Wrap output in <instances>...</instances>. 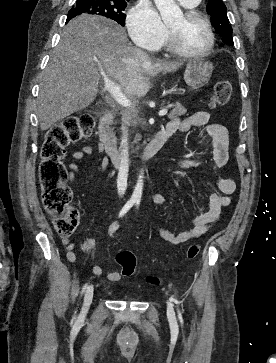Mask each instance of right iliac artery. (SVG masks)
Instances as JSON below:
<instances>
[{
  "label": "right iliac artery",
  "mask_w": 276,
  "mask_h": 363,
  "mask_svg": "<svg viewBox=\"0 0 276 363\" xmlns=\"http://www.w3.org/2000/svg\"><path fill=\"white\" fill-rule=\"evenodd\" d=\"M135 201L134 200H129L124 207L121 209L120 213H119V217H122L133 205H134ZM88 287V283H85L82 287V291H81V295L84 293V291L87 289ZM73 319H75V317H73Z\"/></svg>",
  "instance_id": "right-iliac-artery-1"
}]
</instances>
